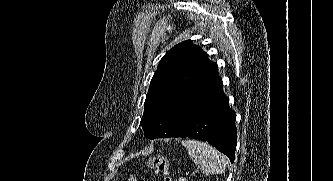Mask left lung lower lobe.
<instances>
[{
    "label": "left lung lower lobe",
    "instance_id": "left-lung-lower-lobe-1",
    "mask_svg": "<svg viewBox=\"0 0 333 181\" xmlns=\"http://www.w3.org/2000/svg\"><path fill=\"white\" fill-rule=\"evenodd\" d=\"M228 104L229 98L222 91L221 81L209 101L172 137H189L207 141L227 155L233 163L237 143L236 113Z\"/></svg>",
    "mask_w": 333,
    "mask_h": 181
}]
</instances>
